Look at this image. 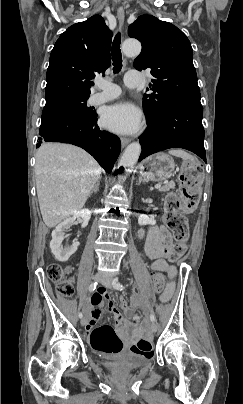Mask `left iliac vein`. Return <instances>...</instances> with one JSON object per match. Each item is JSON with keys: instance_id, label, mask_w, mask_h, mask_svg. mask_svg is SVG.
<instances>
[{"instance_id": "obj_1", "label": "left iliac vein", "mask_w": 243, "mask_h": 404, "mask_svg": "<svg viewBox=\"0 0 243 404\" xmlns=\"http://www.w3.org/2000/svg\"><path fill=\"white\" fill-rule=\"evenodd\" d=\"M101 283H102L103 286H105V287H107V288H112V286H113V280H112L111 277H109V276L102 278V279H101ZM150 330H151L153 333H156V332H157V325H156L154 322H152V323L150 324Z\"/></svg>"}]
</instances>
